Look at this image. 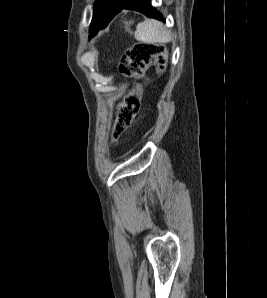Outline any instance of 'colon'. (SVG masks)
<instances>
[{
  "label": "colon",
  "mask_w": 267,
  "mask_h": 298,
  "mask_svg": "<svg viewBox=\"0 0 267 298\" xmlns=\"http://www.w3.org/2000/svg\"><path fill=\"white\" fill-rule=\"evenodd\" d=\"M154 64L158 74L165 70L167 63V51L163 45L139 42L130 47L122 57L119 70L128 78L138 79L144 73L145 68ZM141 87L135 84L127 93L124 104L119 108L112 140L115 141L119 133L124 130L138 110L140 104Z\"/></svg>",
  "instance_id": "1"
}]
</instances>
